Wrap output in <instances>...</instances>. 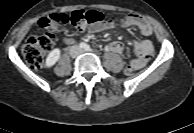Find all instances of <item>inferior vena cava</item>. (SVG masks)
Returning <instances> with one entry per match:
<instances>
[{"label": "inferior vena cava", "instance_id": "1", "mask_svg": "<svg viewBox=\"0 0 194 133\" xmlns=\"http://www.w3.org/2000/svg\"><path fill=\"white\" fill-rule=\"evenodd\" d=\"M82 52L83 50L79 46H76V45L71 46L69 50V53L72 57H76L80 55Z\"/></svg>", "mask_w": 194, "mask_h": 133}]
</instances>
